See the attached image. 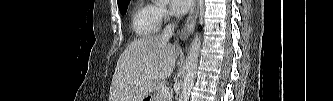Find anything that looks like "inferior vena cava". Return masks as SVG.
I'll return each instance as SVG.
<instances>
[{
    "mask_svg": "<svg viewBox=\"0 0 333 101\" xmlns=\"http://www.w3.org/2000/svg\"><path fill=\"white\" fill-rule=\"evenodd\" d=\"M175 27L176 25L174 23L167 25L161 34V38L168 40L173 35Z\"/></svg>",
    "mask_w": 333,
    "mask_h": 101,
    "instance_id": "1",
    "label": "inferior vena cava"
}]
</instances>
